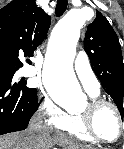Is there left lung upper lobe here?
Wrapping results in <instances>:
<instances>
[{
    "label": "left lung upper lobe",
    "mask_w": 124,
    "mask_h": 149,
    "mask_svg": "<svg viewBox=\"0 0 124 149\" xmlns=\"http://www.w3.org/2000/svg\"><path fill=\"white\" fill-rule=\"evenodd\" d=\"M84 49L94 73L123 118L124 64L121 46L114 29L99 11L87 27Z\"/></svg>",
    "instance_id": "obj_1"
}]
</instances>
